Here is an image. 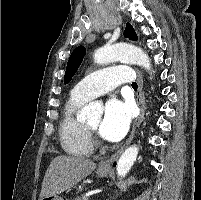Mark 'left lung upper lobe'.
Returning <instances> with one entry per match:
<instances>
[{
  "mask_svg": "<svg viewBox=\"0 0 201 200\" xmlns=\"http://www.w3.org/2000/svg\"><path fill=\"white\" fill-rule=\"evenodd\" d=\"M124 36L128 37L129 39L134 40V41L137 40V35L129 23H127V25H126V28L124 31ZM85 54H86V49L83 46L77 47L72 52V54L68 60L67 67H66V72H65V77H64L65 84L70 82L73 75L75 74L78 67L80 66Z\"/></svg>",
  "mask_w": 201,
  "mask_h": 200,
  "instance_id": "left-lung-upper-lobe-1",
  "label": "left lung upper lobe"
}]
</instances>
